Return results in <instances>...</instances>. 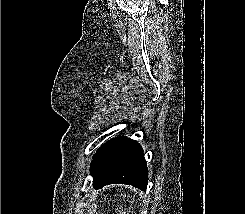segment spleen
Listing matches in <instances>:
<instances>
[{
	"label": "spleen",
	"instance_id": "spleen-1",
	"mask_svg": "<svg viewBox=\"0 0 245 214\" xmlns=\"http://www.w3.org/2000/svg\"><path fill=\"white\" fill-rule=\"evenodd\" d=\"M116 210H118V208H116ZM127 212V213H126ZM130 212V207L128 209H124L123 210V205H119V210H118V213L119 214H129ZM114 214V213H113Z\"/></svg>",
	"mask_w": 245,
	"mask_h": 214
}]
</instances>
